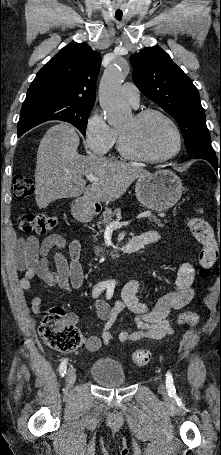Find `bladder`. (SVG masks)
<instances>
[{
  "label": "bladder",
  "instance_id": "bladder-1",
  "mask_svg": "<svg viewBox=\"0 0 221 455\" xmlns=\"http://www.w3.org/2000/svg\"><path fill=\"white\" fill-rule=\"evenodd\" d=\"M91 377L99 384L109 387H119L126 383L124 368L119 363L98 360L90 369Z\"/></svg>",
  "mask_w": 221,
  "mask_h": 455
}]
</instances>
